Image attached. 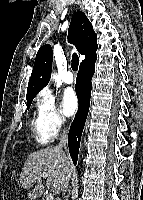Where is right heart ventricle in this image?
<instances>
[{"label":"right heart ventricle","mask_w":143,"mask_h":200,"mask_svg":"<svg viewBox=\"0 0 143 200\" xmlns=\"http://www.w3.org/2000/svg\"><path fill=\"white\" fill-rule=\"evenodd\" d=\"M31 128L34 132L35 138L40 144H47L50 138L45 134L39 113L31 121Z\"/></svg>","instance_id":"e07e8e85"}]
</instances>
